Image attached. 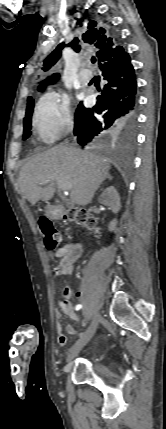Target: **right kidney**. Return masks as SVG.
I'll return each mask as SVG.
<instances>
[{
    "instance_id": "obj_1",
    "label": "right kidney",
    "mask_w": 166,
    "mask_h": 429,
    "mask_svg": "<svg viewBox=\"0 0 166 429\" xmlns=\"http://www.w3.org/2000/svg\"><path fill=\"white\" fill-rule=\"evenodd\" d=\"M98 201L109 207L115 214H117L121 209L120 196L114 186L107 187L103 193L100 195ZM117 226V219H113L109 225V231H115Z\"/></svg>"
}]
</instances>
